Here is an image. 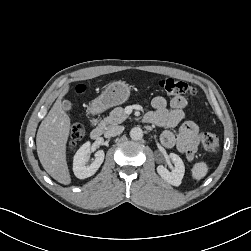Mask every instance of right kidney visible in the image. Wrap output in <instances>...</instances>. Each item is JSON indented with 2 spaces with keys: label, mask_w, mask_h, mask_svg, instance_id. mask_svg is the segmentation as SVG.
I'll return each mask as SVG.
<instances>
[{
  "label": "right kidney",
  "mask_w": 251,
  "mask_h": 251,
  "mask_svg": "<svg viewBox=\"0 0 251 251\" xmlns=\"http://www.w3.org/2000/svg\"><path fill=\"white\" fill-rule=\"evenodd\" d=\"M91 143H84L76 152L73 159V172L79 179L88 178L96 173L104 161V151L99 150L95 153V160L89 165H86L88 154L90 152Z\"/></svg>",
  "instance_id": "obj_1"
}]
</instances>
